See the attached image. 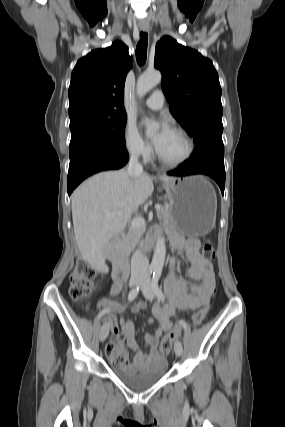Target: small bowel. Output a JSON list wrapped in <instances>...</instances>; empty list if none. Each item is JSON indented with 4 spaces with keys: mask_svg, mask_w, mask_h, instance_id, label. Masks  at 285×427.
<instances>
[{
    "mask_svg": "<svg viewBox=\"0 0 285 427\" xmlns=\"http://www.w3.org/2000/svg\"><path fill=\"white\" fill-rule=\"evenodd\" d=\"M171 243L175 250L183 251L186 255L189 262L187 275L190 283L176 275V258H173L164 288L168 303L165 305L156 303L152 308L153 317L148 320L149 323L157 322L158 327L154 333L145 334L147 352L143 351L136 341L134 323L125 319L117 321L111 314L116 310L121 312L123 310L121 306H117L106 299L101 300L98 304L101 309L108 313V324L116 336V340L111 341L106 347L108 358L112 364L128 370L161 365L165 360L159 354L157 347L162 336L172 328V318L176 317L179 311L194 310L207 303L215 289L213 266L200 254L199 240L196 238L184 239L176 233H171ZM122 285L123 280L114 278L111 293L114 295L119 293ZM145 308H147V302L139 301L132 307V312L136 314ZM118 323L121 326V332ZM124 340L134 352L132 362L129 361L128 352L124 348ZM118 356L121 357V361L117 360Z\"/></svg>",
    "mask_w": 285,
    "mask_h": 427,
    "instance_id": "1",
    "label": "small bowel"
}]
</instances>
